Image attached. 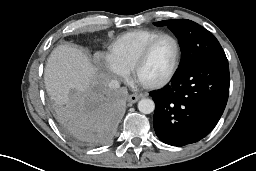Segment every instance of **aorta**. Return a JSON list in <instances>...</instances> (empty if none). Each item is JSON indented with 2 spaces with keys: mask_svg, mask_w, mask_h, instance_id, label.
Listing matches in <instances>:
<instances>
[{
  "mask_svg": "<svg viewBox=\"0 0 256 171\" xmlns=\"http://www.w3.org/2000/svg\"><path fill=\"white\" fill-rule=\"evenodd\" d=\"M138 109L143 114H150L155 109V103L152 99L144 98L138 102Z\"/></svg>",
  "mask_w": 256,
  "mask_h": 171,
  "instance_id": "obj_1",
  "label": "aorta"
}]
</instances>
